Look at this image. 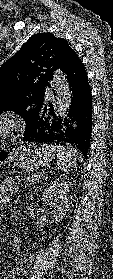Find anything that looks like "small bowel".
<instances>
[{
	"label": "small bowel",
	"instance_id": "1",
	"mask_svg": "<svg viewBox=\"0 0 113 279\" xmlns=\"http://www.w3.org/2000/svg\"><path fill=\"white\" fill-rule=\"evenodd\" d=\"M6 192L17 194L18 188L16 184L11 180H6L2 183L0 188V207L1 204L5 203L6 198ZM23 243L22 237L20 235H16L13 239V247L16 251H19L21 248V245ZM22 271L21 268H17L14 271L9 272L5 275L4 279H17V274Z\"/></svg>",
	"mask_w": 113,
	"mask_h": 279
}]
</instances>
